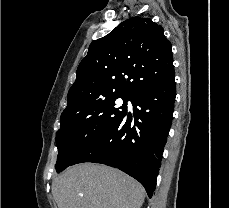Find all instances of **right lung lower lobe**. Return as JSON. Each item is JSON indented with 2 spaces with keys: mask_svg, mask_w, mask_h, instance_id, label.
<instances>
[{
  "mask_svg": "<svg viewBox=\"0 0 229 208\" xmlns=\"http://www.w3.org/2000/svg\"><path fill=\"white\" fill-rule=\"evenodd\" d=\"M174 72L132 97L133 114L119 121L86 146L71 165L101 163L138 180L152 198L176 96ZM70 165V166H71Z\"/></svg>",
  "mask_w": 229,
  "mask_h": 208,
  "instance_id": "1",
  "label": "right lung lower lobe"
}]
</instances>
